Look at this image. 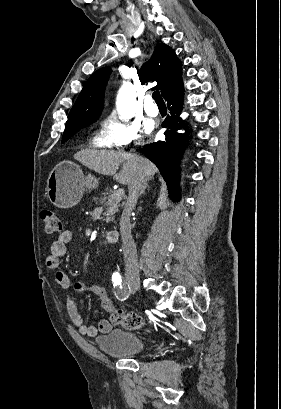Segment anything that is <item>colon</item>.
Returning <instances> with one entry per match:
<instances>
[{"instance_id": "obj_1", "label": "colon", "mask_w": 281, "mask_h": 409, "mask_svg": "<svg viewBox=\"0 0 281 409\" xmlns=\"http://www.w3.org/2000/svg\"><path fill=\"white\" fill-rule=\"evenodd\" d=\"M42 219L48 233L54 234L61 233L63 231L60 218L54 210L50 208L42 209ZM108 312L111 320L125 329H137L143 324V321L139 315L125 312L123 315H121L123 312L121 306H112Z\"/></svg>"}]
</instances>
